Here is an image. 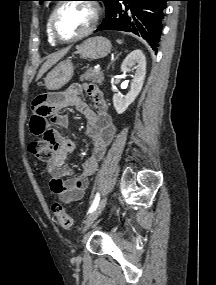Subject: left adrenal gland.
<instances>
[{"label": "left adrenal gland", "instance_id": "1", "mask_svg": "<svg viewBox=\"0 0 216 285\" xmlns=\"http://www.w3.org/2000/svg\"><path fill=\"white\" fill-rule=\"evenodd\" d=\"M118 56H119V54L116 56V58H115L113 61H115V60L118 58ZM113 61H112L111 63H113ZM111 63H110V64H111ZM109 66H110V65H109Z\"/></svg>", "mask_w": 216, "mask_h": 285}]
</instances>
